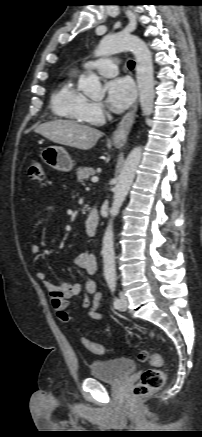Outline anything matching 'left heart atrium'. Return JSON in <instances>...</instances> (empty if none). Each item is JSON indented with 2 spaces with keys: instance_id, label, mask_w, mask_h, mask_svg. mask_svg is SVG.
Returning <instances> with one entry per match:
<instances>
[{
  "instance_id": "1",
  "label": "left heart atrium",
  "mask_w": 202,
  "mask_h": 437,
  "mask_svg": "<svg viewBox=\"0 0 202 437\" xmlns=\"http://www.w3.org/2000/svg\"><path fill=\"white\" fill-rule=\"evenodd\" d=\"M107 103L112 111L122 112L135 98V88L128 78H116L106 84Z\"/></svg>"
}]
</instances>
